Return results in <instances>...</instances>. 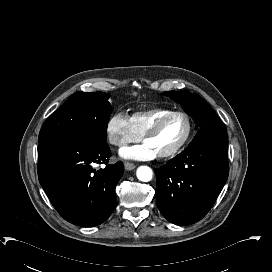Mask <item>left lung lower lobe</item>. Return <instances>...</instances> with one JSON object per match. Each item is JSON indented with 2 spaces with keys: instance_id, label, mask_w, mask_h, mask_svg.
Masks as SVG:
<instances>
[{
  "instance_id": "0a47b994",
  "label": "left lung lower lobe",
  "mask_w": 272,
  "mask_h": 272,
  "mask_svg": "<svg viewBox=\"0 0 272 272\" xmlns=\"http://www.w3.org/2000/svg\"><path fill=\"white\" fill-rule=\"evenodd\" d=\"M227 152L225 128L209 125L182 153L154 169L157 206L168 221L190 225L208 213L228 178Z\"/></svg>"
}]
</instances>
